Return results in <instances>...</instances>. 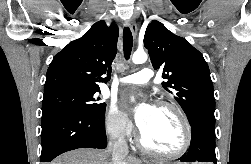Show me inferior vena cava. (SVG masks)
<instances>
[{
    "label": "inferior vena cava",
    "instance_id": "602c4592",
    "mask_svg": "<svg viewBox=\"0 0 251 164\" xmlns=\"http://www.w3.org/2000/svg\"><path fill=\"white\" fill-rule=\"evenodd\" d=\"M108 150L112 153L113 164H122L128 155V145L122 132L111 135Z\"/></svg>",
    "mask_w": 251,
    "mask_h": 164
}]
</instances>
